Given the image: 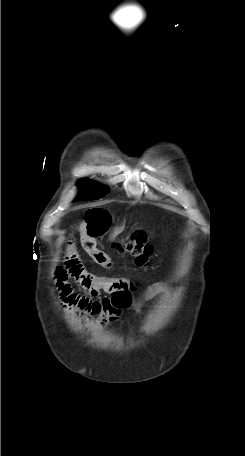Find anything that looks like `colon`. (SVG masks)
<instances>
[{"label":"colon","instance_id":"5ec220e1","mask_svg":"<svg viewBox=\"0 0 245 456\" xmlns=\"http://www.w3.org/2000/svg\"><path fill=\"white\" fill-rule=\"evenodd\" d=\"M115 248L121 254L132 256L135 264L141 268L149 264L153 251L146 233L142 231L133 232L125 242L116 244Z\"/></svg>","mask_w":245,"mask_h":456}]
</instances>
